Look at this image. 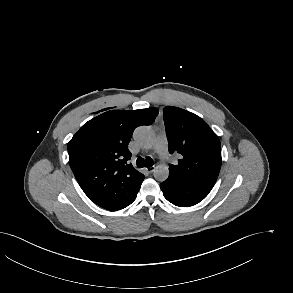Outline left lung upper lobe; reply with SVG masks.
Wrapping results in <instances>:
<instances>
[{
  "label": "left lung upper lobe",
  "instance_id": "left-lung-upper-lobe-1",
  "mask_svg": "<svg viewBox=\"0 0 293 293\" xmlns=\"http://www.w3.org/2000/svg\"><path fill=\"white\" fill-rule=\"evenodd\" d=\"M163 118L169 152L180 154L178 164L170 165L168 178L213 187L221 167L218 136L199 116L178 107H165Z\"/></svg>",
  "mask_w": 293,
  "mask_h": 293
}]
</instances>
